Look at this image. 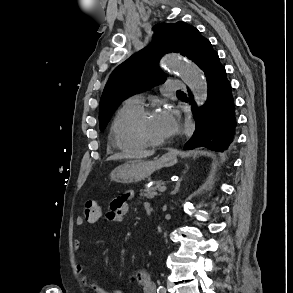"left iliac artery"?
Masks as SVG:
<instances>
[{
    "label": "left iliac artery",
    "instance_id": "left-iliac-artery-1",
    "mask_svg": "<svg viewBox=\"0 0 293 293\" xmlns=\"http://www.w3.org/2000/svg\"><path fill=\"white\" fill-rule=\"evenodd\" d=\"M157 293H166V289H165V287L160 286V287L157 289Z\"/></svg>",
    "mask_w": 293,
    "mask_h": 293
}]
</instances>
